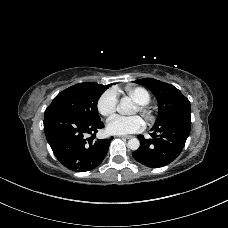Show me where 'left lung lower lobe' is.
I'll use <instances>...</instances> for the list:
<instances>
[{"instance_id": "obj_1", "label": "left lung lower lobe", "mask_w": 228, "mask_h": 228, "mask_svg": "<svg viewBox=\"0 0 228 228\" xmlns=\"http://www.w3.org/2000/svg\"><path fill=\"white\" fill-rule=\"evenodd\" d=\"M175 117L182 120V126L175 125ZM191 112H182L167 119L158 126H153L152 139L138 136L140 147L133 152V157L139 163L150 167L159 168L174 161L184 148L190 134Z\"/></svg>"}]
</instances>
